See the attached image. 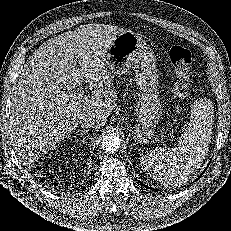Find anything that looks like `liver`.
Wrapping results in <instances>:
<instances>
[{
    "label": "liver",
    "mask_w": 231,
    "mask_h": 231,
    "mask_svg": "<svg viewBox=\"0 0 231 231\" xmlns=\"http://www.w3.org/2000/svg\"><path fill=\"white\" fill-rule=\"evenodd\" d=\"M124 31L105 24L81 25L47 40L26 61L12 96L8 130L25 165L74 132L83 115L95 118V130L105 125L117 100L106 51ZM84 81L94 88L91 95L62 97L61 90L71 91Z\"/></svg>",
    "instance_id": "6515ba94"
}]
</instances>
